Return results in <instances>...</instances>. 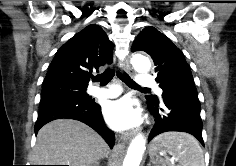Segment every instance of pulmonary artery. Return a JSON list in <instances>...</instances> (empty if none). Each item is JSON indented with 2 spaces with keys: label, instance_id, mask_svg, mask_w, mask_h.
Returning a JSON list of instances; mask_svg holds the SVG:
<instances>
[{
  "label": "pulmonary artery",
  "instance_id": "obj_1",
  "mask_svg": "<svg viewBox=\"0 0 236 166\" xmlns=\"http://www.w3.org/2000/svg\"><path fill=\"white\" fill-rule=\"evenodd\" d=\"M137 84L140 87L154 86L159 94L162 93L161 88L156 85V82L152 76L147 73H142L138 76ZM122 90L119 86H110L108 88L90 87L89 93L92 96L100 98H114L121 94Z\"/></svg>",
  "mask_w": 236,
  "mask_h": 166
}]
</instances>
